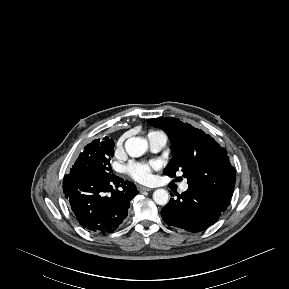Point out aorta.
<instances>
[{
  "label": "aorta",
  "mask_w": 289,
  "mask_h": 289,
  "mask_svg": "<svg viewBox=\"0 0 289 289\" xmlns=\"http://www.w3.org/2000/svg\"><path fill=\"white\" fill-rule=\"evenodd\" d=\"M125 150L131 157H140L147 150V143L138 137H132L126 140ZM153 200L158 205H166L169 201L168 191L165 189H157L153 193Z\"/></svg>",
  "instance_id": "762f6f07"
}]
</instances>
